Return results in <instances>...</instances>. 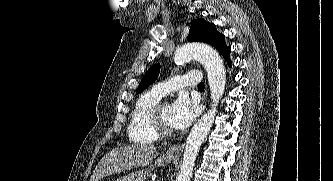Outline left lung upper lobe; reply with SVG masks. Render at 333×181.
<instances>
[{
  "label": "left lung upper lobe",
  "mask_w": 333,
  "mask_h": 181,
  "mask_svg": "<svg viewBox=\"0 0 333 181\" xmlns=\"http://www.w3.org/2000/svg\"><path fill=\"white\" fill-rule=\"evenodd\" d=\"M225 37L220 34L216 26L204 19L193 20L187 40L190 42H204L211 44L222 55L229 49L225 44ZM160 71V64L153 65L141 80L136 93L142 92L149 85H151L158 77Z\"/></svg>",
  "instance_id": "obj_1"
}]
</instances>
